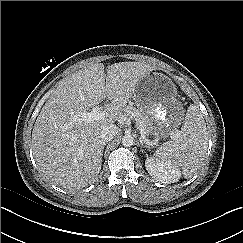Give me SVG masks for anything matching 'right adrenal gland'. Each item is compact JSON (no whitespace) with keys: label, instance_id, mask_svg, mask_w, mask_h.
<instances>
[{"label":"right adrenal gland","instance_id":"right-adrenal-gland-1","mask_svg":"<svg viewBox=\"0 0 243 243\" xmlns=\"http://www.w3.org/2000/svg\"><path fill=\"white\" fill-rule=\"evenodd\" d=\"M103 149H104V147L102 148V156H103Z\"/></svg>","mask_w":243,"mask_h":243}]
</instances>
